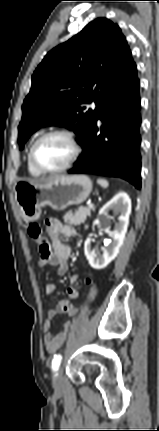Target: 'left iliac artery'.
Returning a JSON list of instances; mask_svg holds the SVG:
<instances>
[{
    "mask_svg": "<svg viewBox=\"0 0 159 431\" xmlns=\"http://www.w3.org/2000/svg\"><path fill=\"white\" fill-rule=\"evenodd\" d=\"M62 360V356L60 354L55 355L52 360V369L53 371H57Z\"/></svg>",
    "mask_w": 159,
    "mask_h": 431,
    "instance_id": "left-iliac-artery-1",
    "label": "left iliac artery"
}]
</instances>
